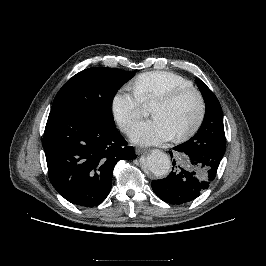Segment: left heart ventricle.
Segmentation results:
<instances>
[{"instance_id": "1", "label": "left heart ventricle", "mask_w": 266, "mask_h": 266, "mask_svg": "<svg viewBox=\"0 0 266 266\" xmlns=\"http://www.w3.org/2000/svg\"><path fill=\"white\" fill-rule=\"evenodd\" d=\"M198 110L197 98L193 94H188L171 105H152L151 115L165 120L176 136L193 125Z\"/></svg>"}]
</instances>
